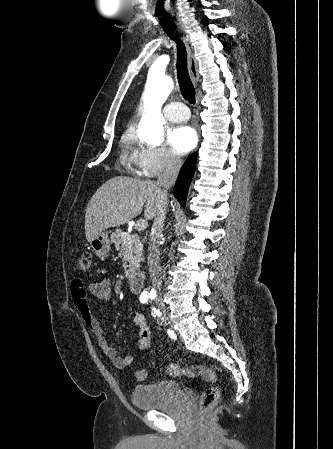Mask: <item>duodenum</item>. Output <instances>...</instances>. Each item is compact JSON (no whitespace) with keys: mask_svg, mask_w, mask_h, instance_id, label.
<instances>
[{"mask_svg":"<svg viewBox=\"0 0 333 449\" xmlns=\"http://www.w3.org/2000/svg\"><path fill=\"white\" fill-rule=\"evenodd\" d=\"M144 274L142 272L131 273L128 277V287L131 292L139 293L142 289Z\"/></svg>","mask_w":333,"mask_h":449,"instance_id":"410a0bca","label":"duodenum"}]
</instances>
